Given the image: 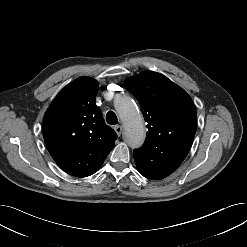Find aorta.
Returning <instances> with one entry per match:
<instances>
[{
	"instance_id": "762f6f07",
	"label": "aorta",
	"mask_w": 247,
	"mask_h": 247,
	"mask_svg": "<svg viewBox=\"0 0 247 247\" xmlns=\"http://www.w3.org/2000/svg\"><path fill=\"white\" fill-rule=\"evenodd\" d=\"M115 108L124 124V139L131 148H139L145 140L144 119L134 100L123 96L115 102Z\"/></svg>"
}]
</instances>
